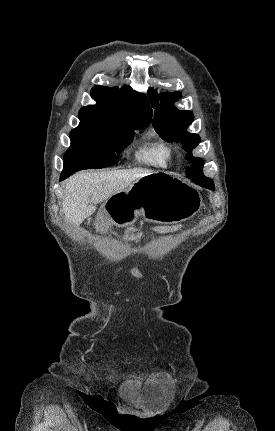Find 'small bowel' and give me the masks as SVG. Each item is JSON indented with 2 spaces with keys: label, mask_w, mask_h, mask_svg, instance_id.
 <instances>
[{
  "label": "small bowel",
  "mask_w": 275,
  "mask_h": 431,
  "mask_svg": "<svg viewBox=\"0 0 275 431\" xmlns=\"http://www.w3.org/2000/svg\"><path fill=\"white\" fill-rule=\"evenodd\" d=\"M180 228H181L180 226L158 227V228H156V230L160 233H170V232H175V231L179 230ZM139 237H140V233L135 229L129 230L126 234V239H128V240H135Z\"/></svg>",
  "instance_id": "obj_1"
}]
</instances>
